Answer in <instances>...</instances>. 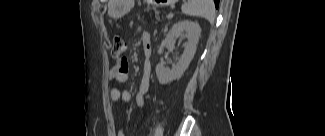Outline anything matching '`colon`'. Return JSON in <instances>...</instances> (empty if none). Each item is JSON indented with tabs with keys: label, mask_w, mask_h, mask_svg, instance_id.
Masks as SVG:
<instances>
[{
	"label": "colon",
	"mask_w": 325,
	"mask_h": 136,
	"mask_svg": "<svg viewBox=\"0 0 325 136\" xmlns=\"http://www.w3.org/2000/svg\"><path fill=\"white\" fill-rule=\"evenodd\" d=\"M127 50V42L121 36H115L112 46V55L116 58L121 57Z\"/></svg>",
	"instance_id": "1"
}]
</instances>
